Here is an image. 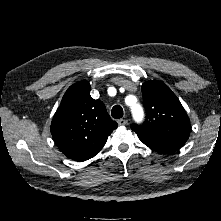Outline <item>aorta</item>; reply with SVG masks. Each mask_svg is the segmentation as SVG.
Here are the masks:
<instances>
[{"instance_id":"obj_1","label":"aorta","mask_w":221,"mask_h":221,"mask_svg":"<svg viewBox=\"0 0 221 221\" xmlns=\"http://www.w3.org/2000/svg\"><path fill=\"white\" fill-rule=\"evenodd\" d=\"M131 112L133 115V119L137 122L140 123L144 119V110L140 104L137 102L131 104Z\"/></svg>"}]
</instances>
